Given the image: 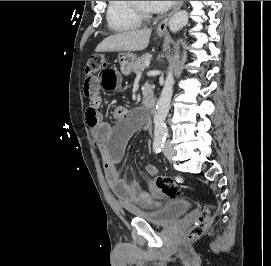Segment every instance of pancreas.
<instances>
[{
	"label": "pancreas",
	"mask_w": 271,
	"mask_h": 266,
	"mask_svg": "<svg viewBox=\"0 0 271 266\" xmlns=\"http://www.w3.org/2000/svg\"><path fill=\"white\" fill-rule=\"evenodd\" d=\"M149 60V57L147 55H142L141 57L137 58L132 66L133 73L137 74L145 69V62ZM151 87L146 82L144 86L142 87L143 93L150 91Z\"/></svg>",
	"instance_id": "obj_1"
}]
</instances>
